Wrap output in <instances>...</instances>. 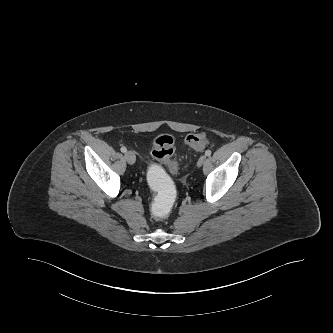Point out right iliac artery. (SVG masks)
I'll use <instances>...</instances> for the list:
<instances>
[{
  "mask_svg": "<svg viewBox=\"0 0 333 333\" xmlns=\"http://www.w3.org/2000/svg\"><path fill=\"white\" fill-rule=\"evenodd\" d=\"M120 150H121V152H123V153H126V152H127V148H126V147H124V146H123V147H121V149H120Z\"/></svg>",
  "mask_w": 333,
  "mask_h": 333,
  "instance_id": "82829eb1",
  "label": "right iliac artery"
}]
</instances>
